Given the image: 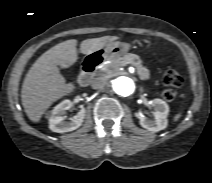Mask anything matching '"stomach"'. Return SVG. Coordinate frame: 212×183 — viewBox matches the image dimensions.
<instances>
[{
	"mask_svg": "<svg viewBox=\"0 0 212 183\" xmlns=\"http://www.w3.org/2000/svg\"><path fill=\"white\" fill-rule=\"evenodd\" d=\"M130 49L129 43L112 41L102 50V56L106 59L117 58L126 55Z\"/></svg>",
	"mask_w": 212,
	"mask_h": 183,
	"instance_id": "stomach-1",
	"label": "stomach"
}]
</instances>
